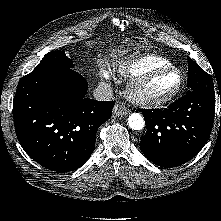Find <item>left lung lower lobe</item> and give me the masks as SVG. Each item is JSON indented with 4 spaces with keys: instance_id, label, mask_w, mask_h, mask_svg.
Returning a JSON list of instances; mask_svg holds the SVG:
<instances>
[{
    "instance_id": "left-lung-lower-lobe-1",
    "label": "left lung lower lobe",
    "mask_w": 221,
    "mask_h": 221,
    "mask_svg": "<svg viewBox=\"0 0 221 221\" xmlns=\"http://www.w3.org/2000/svg\"><path fill=\"white\" fill-rule=\"evenodd\" d=\"M147 132L141 138L144 155L161 167H176L192 159L207 142L214 121L215 96L190 91L167 108L142 110Z\"/></svg>"
}]
</instances>
